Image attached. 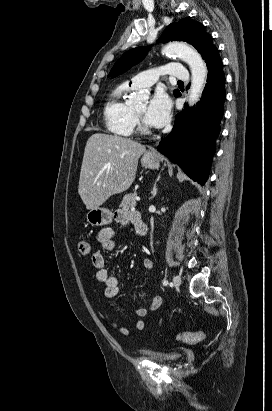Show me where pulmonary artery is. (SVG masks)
I'll return each mask as SVG.
<instances>
[{
	"label": "pulmonary artery",
	"mask_w": 272,
	"mask_h": 411,
	"mask_svg": "<svg viewBox=\"0 0 272 411\" xmlns=\"http://www.w3.org/2000/svg\"><path fill=\"white\" fill-rule=\"evenodd\" d=\"M161 75H166L179 80H189V72L179 63H170L161 69L144 71L130 80L133 88H146L154 85Z\"/></svg>",
	"instance_id": "obj_1"
}]
</instances>
